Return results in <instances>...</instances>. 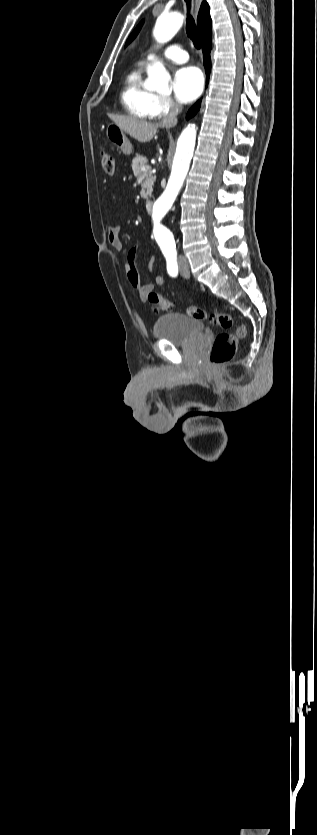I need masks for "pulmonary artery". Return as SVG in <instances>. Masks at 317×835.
Wrapping results in <instances>:
<instances>
[{
  "label": "pulmonary artery",
  "mask_w": 317,
  "mask_h": 835,
  "mask_svg": "<svg viewBox=\"0 0 317 835\" xmlns=\"http://www.w3.org/2000/svg\"><path fill=\"white\" fill-rule=\"evenodd\" d=\"M162 56L166 59L172 60V61L177 62V63H184L189 58L188 53L178 45H172V46L167 47L163 51ZM155 59H156V56L154 54H150V55L147 56L146 60L147 61H153Z\"/></svg>",
  "instance_id": "obj_1"
}]
</instances>
